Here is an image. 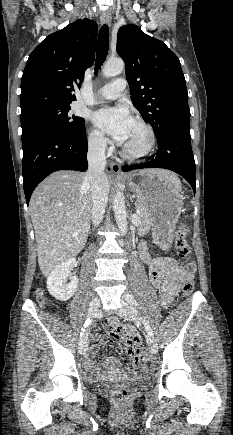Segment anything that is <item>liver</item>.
<instances>
[{
	"mask_svg": "<svg viewBox=\"0 0 233 435\" xmlns=\"http://www.w3.org/2000/svg\"><path fill=\"white\" fill-rule=\"evenodd\" d=\"M143 173H157L171 178L180 186L173 172L145 169ZM77 171H57L49 175L34 190L29 204L35 231L38 263L48 276L63 262L76 256L84 248L89 230L92 208L90 182ZM108 184L109 180L107 178ZM78 233L73 237V233Z\"/></svg>",
	"mask_w": 233,
	"mask_h": 435,
	"instance_id": "liver-1",
	"label": "liver"
}]
</instances>
